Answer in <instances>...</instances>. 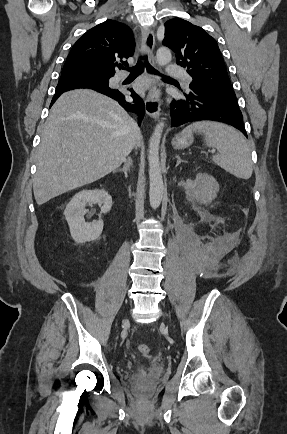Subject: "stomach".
I'll list each match as a JSON object with an SVG mask.
<instances>
[{
	"mask_svg": "<svg viewBox=\"0 0 287 434\" xmlns=\"http://www.w3.org/2000/svg\"><path fill=\"white\" fill-rule=\"evenodd\" d=\"M193 143V135L192 133H181L179 135H177L175 138H173L172 140V146L174 147V149H185L187 147H189L191 144Z\"/></svg>",
	"mask_w": 287,
	"mask_h": 434,
	"instance_id": "stomach-1",
	"label": "stomach"
}]
</instances>
